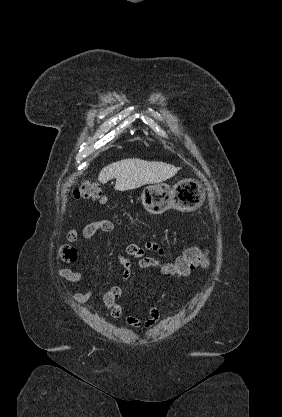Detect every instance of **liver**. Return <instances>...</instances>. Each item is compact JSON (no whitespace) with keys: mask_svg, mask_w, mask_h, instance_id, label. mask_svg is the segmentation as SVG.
<instances>
[{"mask_svg":"<svg viewBox=\"0 0 282 417\" xmlns=\"http://www.w3.org/2000/svg\"><path fill=\"white\" fill-rule=\"evenodd\" d=\"M180 166L157 162V160H141V158H123L111 162L102 168L98 174L99 182L105 184L111 178H116L115 190H130L142 184H155L163 182L174 176Z\"/></svg>","mask_w":282,"mask_h":417,"instance_id":"obj_1","label":"liver"}]
</instances>
